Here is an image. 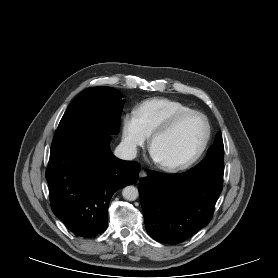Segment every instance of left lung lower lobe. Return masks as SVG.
Wrapping results in <instances>:
<instances>
[{
  "label": "left lung lower lobe",
  "mask_w": 278,
  "mask_h": 278,
  "mask_svg": "<svg viewBox=\"0 0 278 278\" xmlns=\"http://www.w3.org/2000/svg\"><path fill=\"white\" fill-rule=\"evenodd\" d=\"M222 186L215 175L149 170L139 184L147 233L164 244L188 239L210 222Z\"/></svg>",
  "instance_id": "left-lung-lower-lobe-1"
}]
</instances>
